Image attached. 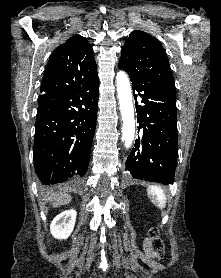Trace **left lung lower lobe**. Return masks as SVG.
Segmentation results:
<instances>
[{"instance_id":"left-lung-lower-lobe-1","label":"left lung lower lobe","mask_w":221,"mask_h":278,"mask_svg":"<svg viewBox=\"0 0 221 278\" xmlns=\"http://www.w3.org/2000/svg\"><path fill=\"white\" fill-rule=\"evenodd\" d=\"M130 79L141 136L126 160V170L136 179L173 184L178 158L176 93Z\"/></svg>"}]
</instances>
